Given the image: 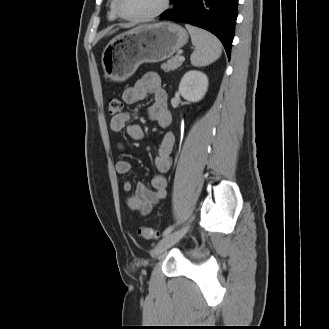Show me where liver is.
<instances>
[{"label": "liver", "instance_id": "liver-1", "mask_svg": "<svg viewBox=\"0 0 329 329\" xmlns=\"http://www.w3.org/2000/svg\"><path fill=\"white\" fill-rule=\"evenodd\" d=\"M117 30V29H116ZM116 30H113V31H110V29H107V30H105V31H103L102 32V36H104V35H106V34H112V33H114Z\"/></svg>", "mask_w": 329, "mask_h": 329}]
</instances>
